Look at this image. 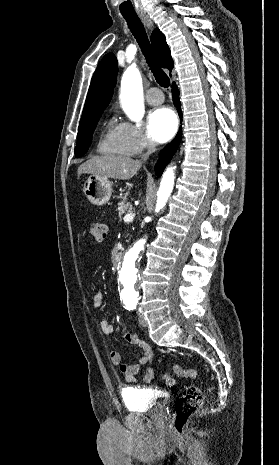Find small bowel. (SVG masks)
I'll return each mask as SVG.
<instances>
[{
	"instance_id": "1",
	"label": "small bowel",
	"mask_w": 279,
	"mask_h": 465,
	"mask_svg": "<svg viewBox=\"0 0 279 465\" xmlns=\"http://www.w3.org/2000/svg\"><path fill=\"white\" fill-rule=\"evenodd\" d=\"M92 301L95 307H100L104 302V293L101 289H95L92 294ZM101 330L106 336H110L114 331V326L107 320L101 322ZM124 339L131 345H137L141 349V355L136 363H123L118 352L112 351L110 353V360L117 368L118 372L124 376L127 383L136 381V375L139 373L143 366H151L154 361V351L149 343L140 339L135 333H124ZM155 377V372L152 367H148L144 373L143 381L146 383L151 382Z\"/></svg>"
}]
</instances>
